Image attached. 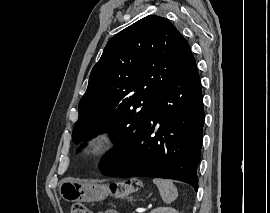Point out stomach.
Instances as JSON below:
<instances>
[{
  "label": "stomach",
  "mask_w": 270,
  "mask_h": 213,
  "mask_svg": "<svg viewBox=\"0 0 270 213\" xmlns=\"http://www.w3.org/2000/svg\"><path fill=\"white\" fill-rule=\"evenodd\" d=\"M109 186L95 182H86L74 178L62 180L59 186L60 196L67 202H94L104 199Z\"/></svg>",
  "instance_id": "obj_1"
}]
</instances>
